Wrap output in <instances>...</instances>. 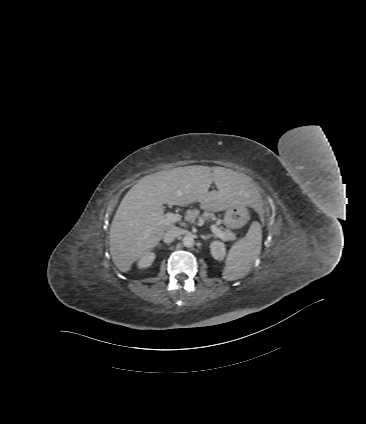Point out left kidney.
Segmentation results:
<instances>
[{
  "mask_svg": "<svg viewBox=\"0 0 366 424\" xmlns=\"http://www.w3.org/2000/svg\"><path fill=\"white\" fill-rule=\"evenodd\" d=\"M212 256L219 261H222L226 255L225 244L220 241H213L210 245Z\"/></svg>",
  "mask_w": 366,
  "mask_h": 424,
  "instance_id": "5707ae66",
  "label": "left kidney"
}]
</instances>
